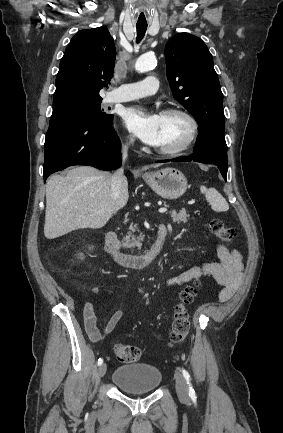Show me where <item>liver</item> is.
I'll return each mask as SVG.
<instances>
[{
  "label": "liver",
  "mask_w": 283,
  "mask_h": 433,
  "mask_svg": "<svg viewBox=\"0 0 283 433\" xmlns=\"http://www.w3.org/2000/svg\"><path fill=\"white\" fill-rule=\"evenodd\" d=\"M111 178L110 172L93 166H76L66 176H51L46 184V239H56L76 229L104 227L129 198L126 176L118 198H111Z\"/></svg>",
  "instance_id": "6515ba94"
}]
</instances>
